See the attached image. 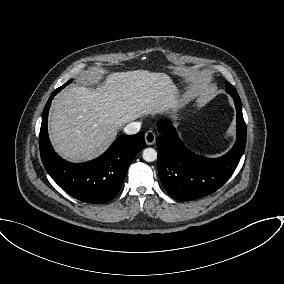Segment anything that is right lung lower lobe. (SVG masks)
<instances>
[{
  "instance_id": "98d812e1",
  "label": "right lung lower lobe",
  "mask_w": 284,
  "mask_h": 284,
  "mask_svg": "<svg viewBox=\"0 0 284 284\" xmlns=\"http://www.w3.org/2000/svg\"><path fill=\"white\" fill-rule=\"evenodd\" d=\"M57 93H52L43 111L39 134L42 163L52 179L72 197L88 203L108 202L119 193L131 162L145 147L144 133L120 136L92 161L67 162L54 152L47 131L49 108Z\"/></svg>"
}]
</instances>
